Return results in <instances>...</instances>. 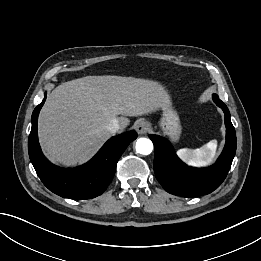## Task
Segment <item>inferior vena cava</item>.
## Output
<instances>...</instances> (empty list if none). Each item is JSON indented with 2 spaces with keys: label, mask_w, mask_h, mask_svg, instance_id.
I'll use <instances>...</instances> for the list:
<instances>
[{
  "label": "inferior vena cava",
  "mask_w": 261,
  "mask_h": 261,
  "mask_svg": "<svg viewBox=\"0 0 261 261\" xmlns=\"http://www.w3.org/2000/svg\"><path fill=\"white\" fill-rule=\"evenodd\" d=\"M106 128L109 132L116 133L121 129V125L118 119H113Z\"/></svg>",
  "instance_id": "inferior-vena-cava-1"
}]
</instances>
